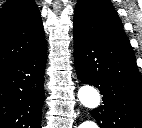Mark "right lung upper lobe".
Returning a JSON list of instances; mask_svg holds the SVG:
<instances>
[{
  "instance_id": "right-lung-upper-lobe-1",
  "label": "right lung upper lobe",
  "mask_w": 142,
  "mask_h": 128,
  "mask_svg": "<svg viewBox=\"0 0 142 128\" xmlns=\"http://www.w3.org/2000/svg\"><path fill=\"white\" fill-rule=\"evenodd\" d=\"M46 43L34 0H7L0 10V70Z\"/></svg>"
}]
</instances>
